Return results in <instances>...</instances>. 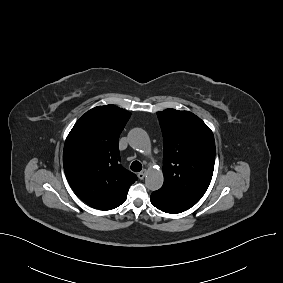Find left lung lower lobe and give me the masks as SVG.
I'll return each instance as SVG.
<instances>
[{"label": "left lung lower lobe", "mask_w": 283, "mask_h": 283, "mask_svg": "<svg viewBox=\"0 0 283 283\" xmlns=\"http://www.w3.org/2000/svg\"><path fill=\"white\" fill-rule=\"evenodd\" d=\"M151 203L159 210L176 214L186 211L187 209L180 206L172 197L162 190L154 191L151 194Z\"/></svg>", "instance_id": "0a47b994"}]
</instances>
